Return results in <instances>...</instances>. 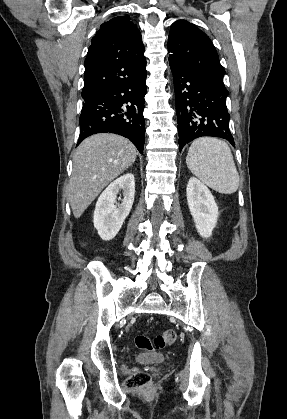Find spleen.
<instances>
[{"instance_id": "obj_1", "label": "spleen", "mask_w": 287, "mask_h": 419, "mask_svg": "<svg viewBox=\"0 0 287 419\" xmlns=\"http://www.w3.org/2000/svg\"><path fill=\"white\" fill-rule=\"evenodd\" d=\"M186 164L203 183L221 194H233L239 187L232 152L223 140L212 137L195 140L189 148Z\"/></svg>"}]
</instances>
